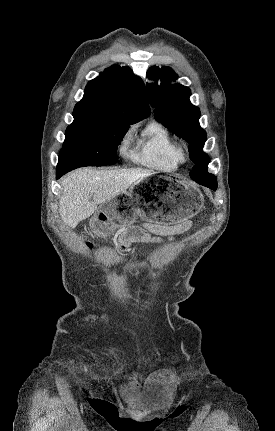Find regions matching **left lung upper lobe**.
I'll return each instance as SVG.
<instances>
[{
	"label": "left lung upper lobe",
	"mask_w": 275,
	"mask_h": 431,
	"mask_svg": "<svg viewBox=\"0 0 275 431\" xmlns=\"http://www.w3.org/2000/svg\"><path fill=\"white\" fill-rule=\"evenodd\" d=\"M147 76L157 83L146 84L149 102L154 107V117L165 127L189 143L190 159L195 163L190 173H208L209 157L202 151L206 141V132L200 127V110L191 104V90L180 85H166L174 81L177 75L170 67H151ZM215 177V176H214ZM215 181L217 182L216 178Z\"/></svg>",
	"instance_id": "1"
}]
</instances>
